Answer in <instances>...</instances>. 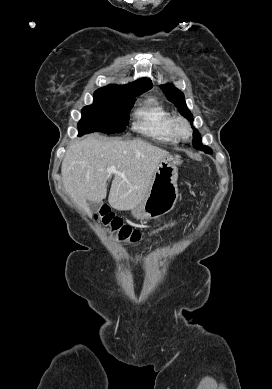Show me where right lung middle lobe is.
<instances>
[{
  "instance_id": "dd1d6c3e",
  "label": "right lung middle lobe",
  "mask_w": 272,
  "mask_h": 389,
  "mask_svg": "<svg viewBox=\"0 0 272 389\" xmlns=\"http://www.w3.org/2000/svg\"><path fill=\"white\" fill-rule=\"evenodd\" d=\"M136 95L116 92L96 91L94 103L82 109L78 123L79 135L92 132L119 133L129 122L128 112L133 106Z\"/></svg>"
}]
</instances>
